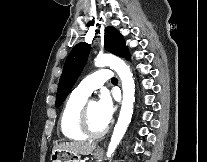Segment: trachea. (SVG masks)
Here are the masks:
<instances>
[{
  "label": "trachea",
  "mask_w": 207,
  "mask_h": 162,
  "mask_svg": "<svg viewBox=\"0 0 207 162\" xmlns=\"http://www.w3.org/2000/svg\"><path fill=\"white\" fill-rule=\"evenodd\" d=\"M111 81H112V82H118V79L115 78V77H113V78L111 79Z\"/></svg>",
  "instance_id": "trachea-1"
}]
</instances>
